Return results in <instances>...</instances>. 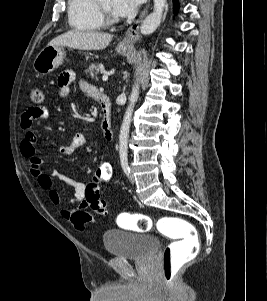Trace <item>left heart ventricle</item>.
Masks as SVG:
<instances>
[{
	"label": "left heart ventricle",
	"mask_w": 267,
	"mask_h": 301,
	"mask_svg": "<svg viewBox=\"0 0 267 301\" xmlns=\"http://www.w3.org/2000/svg\"><path fill=\"white\" fill-rule=\"evenodd\" d=\"M100 4L111 16H114L111 9L112 0H100Z\"/></svg>",
	"instance_id": "obj_1"
}]
</instances>
